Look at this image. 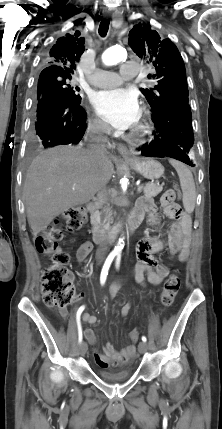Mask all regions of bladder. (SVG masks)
Masks as SVG:
<instances>
[{
    "label": "bladder",
    "instance_id": "obj_1",
    "mask_svg": "<svg viewBox=\"0 0 222 429\" xmlns=\"http://www.w3.org/2000/svg\"><path fill=\"white\" fill-rule=\"evenodd\" d=\"M97 376L107 382H122L126 381L131 377L130 370H117V371H105L101 370L97 373Z\"/></svg>",
    "mask_w": 222,
    "mask_h": 429
}]
</instances>
